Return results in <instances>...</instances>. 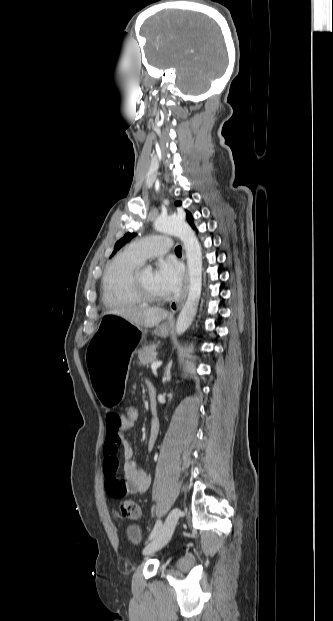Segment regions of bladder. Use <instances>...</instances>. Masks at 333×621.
I'll return each mask as SVG.
<instances>
[{
	"instance_id": "bladder-1",
	"label": "bladder",
	"mask_w": 333,
	"mask_h": 621,
	"mask_svg": "<svg viewBox=\"0 0 333 621\" xmlns=\"http://www.w3.org/2000/svg\"><path fill=\"white\" fill-rule=\"evenodd\" d=\"M126 537L132 545L140 546L143 540L140 526L137 524H130L127 526Z\"/></svg>"
}]
</instances>
